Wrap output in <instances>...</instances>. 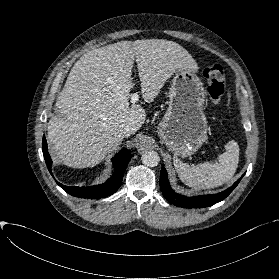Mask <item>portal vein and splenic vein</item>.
Listing matches in <instances>:
<instances>
[{
  "label": "portal vein and splenic vein",
  "mask_w": 279,
  "mask_h": 279,
  "mask_svg": "<svg viewBox=\"0 0 279 279\" xmlns=\"http://www.w3.org/2000/svg\"><path fill=\"white\" fill-rule=\"evenodd\" d=\"M130 96H131V102H132V103L137 102L138 99H139V96H138L137 93L131 94Z\"/></svg>",
  "instance_id": "18ae733b"
}]
</instances>
